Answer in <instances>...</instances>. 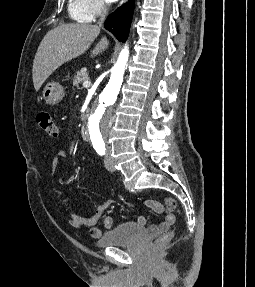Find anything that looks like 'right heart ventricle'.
<instances>
[{
    "instance_id": "e07e8e85",
    "label": "right heart ventricle",
    "mask_w": 255,
    "mask_h": 287,
    "mask_svg": "<svg viewBox=\"0 0 255 287\" xmlns=\"http://www.w3.org/2000/svg\"><path fill=\"white\" fill-rule=\"evenodd\" d=\"M86 33H100V32H86ZM88 39H92V38H88ZM106 39H111V38H106Z\"/></svg>"
}]
</instances>
